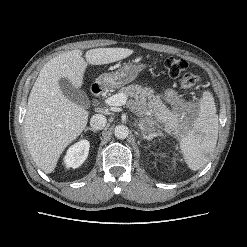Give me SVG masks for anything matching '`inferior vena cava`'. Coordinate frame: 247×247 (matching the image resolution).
I'll list each match as a JSON object with an SVG mask.
<instances>
[{
	"mask_svg": "<svg viewBox=\"0 0 247 247\" xmlns=\"http://www.w3.org/2000/svg\"><path fill=\"white\" fill-rule=\"evenodd\" d=\"M107 123V119L102 114H95L90 119V125L95 130H102Z\"/></svg>",
	"mask_w": 247,
	"mask_h": 247,
	"instance_id": "obj_1",
	"label": "inferior vena cava"
}]
</instances>
